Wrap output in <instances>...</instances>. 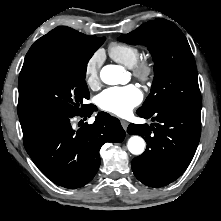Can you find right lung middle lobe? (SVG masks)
<instances>
[{
    "label": "right lung middle lobe",
    "instance_id": "1",
    "mask_svg": "<svg viewBox=\"0 0 221 221\" xmlns=\"http://www.w3.org/2000/svg\"><path fill=\"white\" fill-rule=\"evenodd\" d=\"M98 45L82 46L50 58L19 78L20 122L56 113L78 114L90 94L85 82L87 63Z\"/></svg>",
    "mask_w": 221,
    "mask_h": 221
}]
</instances>
